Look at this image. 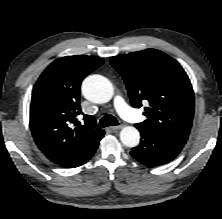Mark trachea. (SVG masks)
I'll use <instances>...</instances> for the list:
<instances>
[{"label":"trachea","instance_id":"1","mask_svg":"<svg viewBox=\"0 0 222 219\" xmlns=\"http://www.w3.org/2000/svg\"><path fill=\"white\" fill-rule=\"evenodd\" d=\"M114 125H119L117 119L112 116L111 114L105 115L99 122L98 128H105L108 126H114Z\"/></svg>","mask_w":222,"mask_h":219}]
</instances>
